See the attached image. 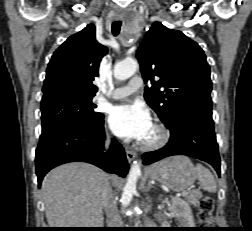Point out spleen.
<instances>
[{"label":"spleen","instance_id":"1","mask_svg":"<svg viewBox=\"0 0 252 231\" xmlns=\"http://www.w3.org/2000/svg\"><path fill=\"white\" fill-rule=\"evenodd\" d=\"M196 178H198V180L201 183L202 188L205 191L213 192V193L216 192L217 185H216V181L214 179L213 174L210 172V170H208L201 164H197Z\"/></svg>","mask_w":252,"mask_h":231}]
</instances>
